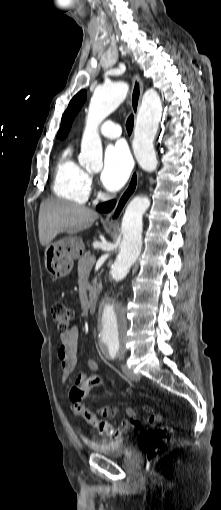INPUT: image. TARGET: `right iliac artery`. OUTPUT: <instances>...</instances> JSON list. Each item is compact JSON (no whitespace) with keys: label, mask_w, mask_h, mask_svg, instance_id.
Returning <instances> with one entry per match:
<instances>
[{"label":"right iliac artery","mask_w":221,"mask_h":510,"mask_svg":"<svg viewBox=\"0 0 221 510\" xmlns=\"http://www.w3.org/2000/svg\"><path fill=\"white\" fill-rule=\"evenodd\" d=\"M111 356L114 357L115 356V353H111Z\"/></svg>","instance_id":"obj_1"}]
</instances>
